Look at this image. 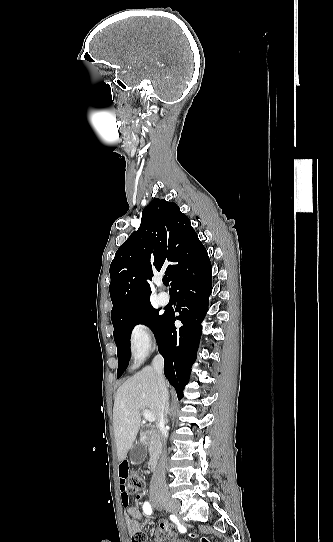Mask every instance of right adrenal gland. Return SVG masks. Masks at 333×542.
<instances>
[{"mask_svg":"<svg viewBox=\"0 0 333 542\" xmlns=\"http://www.w3.org/2000/svg\"><path fill=\"white\" fill-rule=\"evenodd\" d=\"M169 406H170V404H169V402H167V404H166V412H167V414H169ZM166 418H167V416H166Z\"/></svg>","mask_w":333,"mask_h":542,"instance_id":"2a0ac1e0","label":"right adrenal gland"}]
</instances>
